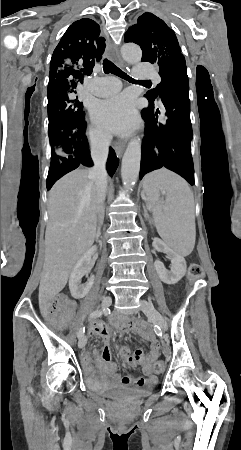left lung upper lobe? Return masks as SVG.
Here are the masks:
<instances>
[{"mask_svg":"<svg viewBox=\"0 0 241 450\" xmlns=\"http://www.w3.org/2000/svg\"><path fill=\"white\" fill-rule=\"evenodd\" d=\"M126 42L138 44L143 53L142 61L158 65L161 83L148 91L145 97L152 102L171 84L189 88L185 58L175 33L152 13L146 12L125 33Z\"/></svg>","mask_w":241,"mask_h":450,"instance_id":"1","label":"left lung upper lobe"}]
</instances>
